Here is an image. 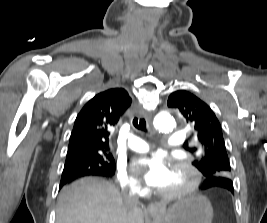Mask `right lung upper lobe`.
<instances>
[{"label":"right lung upper lobe","instance_id":"obj_1","mask_svg":"<svg viewBox=\"0 0 267 223\" xmlns=\"http://www.w3.org/2000/svg\"><path fill=\"white\" fill-rule=\"evenodd\" d=\"M131 104L123 88H114L92 98L78 114L71 133L67 157L86 152H110V130Z\"/></svg>","mask_w":267,"mask_h":223}]
</instances>
